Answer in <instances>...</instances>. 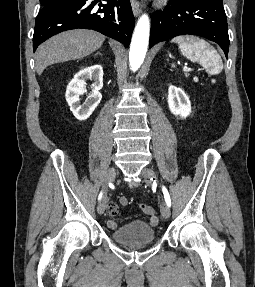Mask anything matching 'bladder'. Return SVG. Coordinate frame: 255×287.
<instances>
[{
    "label": "bladder",
    "instance_id": "1",
    "mask_svg": "<svg viewBox=\"0 0 255 287\" xmlns=\"http://www.w3.org/2000/svg\"><path fill=\"white\" fill-rule=\"evenodd\" d=\"M156 229L150 224L134 220L110 230V238L122 245L152 243L156 239Z\"/></svg>",
    "mask_w": 255,
    "mask_h": 287
}]
</instances>
